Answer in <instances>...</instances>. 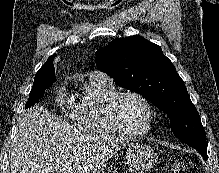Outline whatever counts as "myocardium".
<instances>
[{"instance_id":"obj_1","label":"myocardium","mask_w":219,"mask_h":173,"mask_svg":"<svg viewBox=\"0 0 219 173\" xmlns=\"http://www.w3.org/2000/svg\"><path fill=\"white\" fill-rule=\"evenodd\" d=\"M127 96H133L140 99L148 110V120L145 128L140 131H131L125 128L119 118V105L123 98ZM108 119L113 125V127L122 135L138 138L143 137L149 134L153 128L154 120H155V108L152 102L142 93L135 90H124L117 92L107 103L106 106Z\"/></svg>"}]
</instances>
